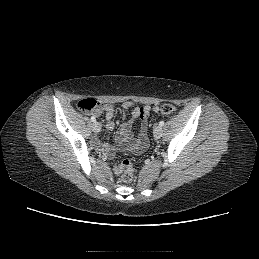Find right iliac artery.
Here are the masks:
<instances>
[{
    "instance_id": "1",
    "label": "right iliac artery",
    "mask_w": 259,
    "mask_h": 259,
    "mask_svg": "<svg viewBox=\"0 0 259 259\" xmlns=\"http://www.w3.org/2000/svg\"><path fill=\"white\" fill-rule=\"evenodd\" d=\"M92 122H96V118L94 116L91 117Z\"/></svg>"
}]
</instances>
